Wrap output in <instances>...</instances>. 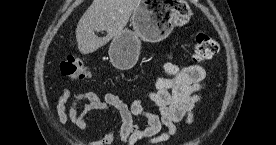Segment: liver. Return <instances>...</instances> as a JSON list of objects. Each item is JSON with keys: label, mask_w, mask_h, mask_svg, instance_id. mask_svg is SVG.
I'll return each mask as SVG.
<instances>
[{"label": "liver", "mask_w": 276, "mask_h": 145, "mask_svg": "<svg viewBox=\"0 0 276 145\" xmlns=\"http://www.w3.org/2000/svg\"><path fill=\"white\" fill-rule=\"evenodd\" d=\"M140 0H93L76 28L78 49L82 54L93 53L120 34ZM106 31L105 37L95 32Z\"/></svg>", "instance_id": "obj_1"}]
</instances>
